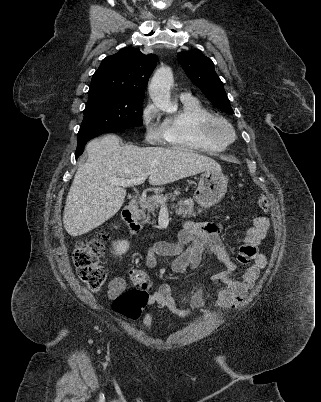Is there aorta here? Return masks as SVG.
Wrapping results in <instances>:
<instances>
[{
  "label": "aorta",
  "mask_w": 321,
  "mask_h": 402,
  "mask_svg": "<svg viewBox=\"0 0 321 402\" xmlns=\"http://www.w3.org/2000/svg\"><path fill=\"white\" fill-rule=\"evenodd\" d=\"M173 83V73L168 67L158 69L150 82L149 94L154 105L168 113L176 111V105L170 99V89Z\"/></svg>",
  "instance_id": "aorta-1"
}]
</instances>
